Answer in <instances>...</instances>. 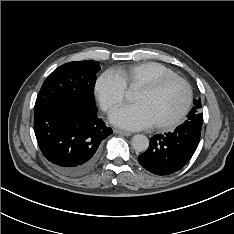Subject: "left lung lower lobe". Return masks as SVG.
Returning <instances> with one entry per match:
<instances>
[{
	"instance_id": "0a47b994",
	"label": "left lung lower lobe",
	"mask_w": 234,
	"mask_h": 234,
	"mask_svg": "<svg viewBox=\"0 0 234 234\" xmlns=\"http://www.w3.org/2000/svg\"><path fill=\"white\" fill-rule=\"evenodd\" d=\"M200 136V129L182 124L174 132L153 136L149 148L138 156V161L153 174H172L183 168L193 156Z\"/></svg>"
}]
</instances>
